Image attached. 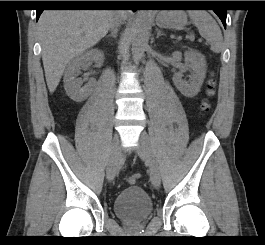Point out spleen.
<instances>
[{
	"label": "spleen",
	"mask_w": 265,
	"mask_h": 245,
	"mask_svg": "<svg viewBox=\"0 0 265 245\" xmlns=\"http://www.w3.org/2000/svg\"><path fill=\"white\" fill-rule=\"evenodd\" d=\"M188 14L200 35L209 42L211 50L215 53L221 52L224 49L222 33L212 16L201 10L189 11Z\"/></svg>",
	"instance_id": "spleen-1"
}]
</instances>
